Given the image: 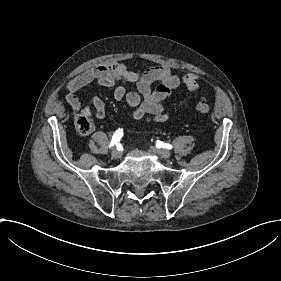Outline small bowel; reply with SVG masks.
<instances>
[{"instance_id": "small-bowel-1", "label": "small bowel", "mask_w": 281, "mask_h": 281, "mask_svg": "<svg viewBox=\"0 0 281 281\" xmlns=\"http://www.w3.org/2000/svg\"><path fill=\"white\" fill-rule=\"evenodd\" d=\"M199 77L189 73L179 77L165 67H151L145 72L130 70L122 63L111 62L97 66L94 69L69 81L67 84L66 99L77 112L91 114L89 107H82L77 93L95 83L101 86L113 88L112 97L116 101H125L131 107L135 119H147L154 122H166L168 114L165 112L162 102L168 98L172 91L183 85L188 91L196 93ZM135 84L138 92L127 91L122 84ZM159 83L155 90L151 85ZM88 105L95 108L98 118H102L106 112V105L100 97L88 99Z\"/></svg>"}]
</instances>
